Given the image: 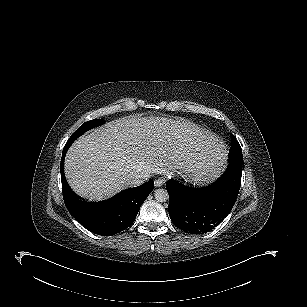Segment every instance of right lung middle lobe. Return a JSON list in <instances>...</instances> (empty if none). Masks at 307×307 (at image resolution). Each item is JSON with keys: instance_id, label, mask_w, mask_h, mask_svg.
Here are the masks:
<instances>
[{"instance_id": "dd1d6c3e", "label": "right lung middle lobe", "mask_w": 307, "mask_h": 307, "mask_svg": "<svg viewBox=\"0 0 307 307\" xmlns=\"http://www.w3.org/2000/svg\"><path fill=\"white\" fill-rule=\"evenodd\" d=\"M102 124H104V120L102 119H95V120L85 122L72 134L70 139L67 141L66 145H71L76 140V138H78L80 135Z\"/></svg>"}]
</instances>
